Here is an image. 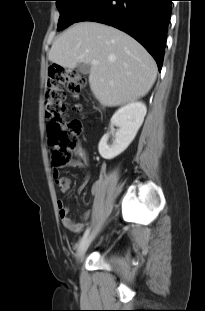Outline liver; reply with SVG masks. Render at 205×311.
Masks as SVG:
<instances>
[{
  "label": "liver",
  "mask_w": 205,
  "mask_h": 311,
  "mask_svg": "<svg viewBox=\"0 0 205 311\" xmlns=\"http://www.w3.org/2000/svg\"><path fill=\"white\" fill-rule=\"evenodd\" d=\"M48 57L69 69L90 64V88L109 107L145 96L157 77L156 62L140 43L123 31L92 21L76 23L64 31ZM93 60L99 63L93 65Z\"/></svg>",
  "instance_id": "liver-1"
}]
</instances>
